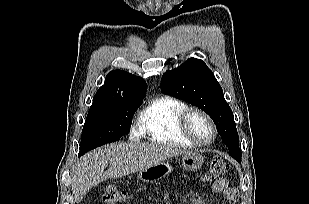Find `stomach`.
Listing matches in <instances>:
<instances>
[{
	"label": "stomach",
	"mask_w": 309,
	"mask_h": 204,
	"mask_svg": "<svg viewBox=\"0 0 309 204\" xmlns=\"http://www.w3.org/2000/svg\"><path fill=\"white\" fill-rule=\"evenodd\" d=\"M203 156L197 152H186L182 155V166L187 171H196L203 164ZM173 161L167 159L147 169L141 170L138 178L145 183H154L173 171Z\"/></svg>",
	"instance_id": "obj_1"
}]
</instances>
